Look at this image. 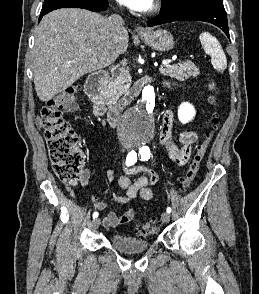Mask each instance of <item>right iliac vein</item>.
Wrapping results in <instances>:
<instances>
[{"label":"right iliac vein","mask_w":259,"mask_h":294,"mask_svg":"<svg viewBox=\"0 0 259 294\" xmlns=\"http://www.w3.org/2000/svg\"><path fill=\"white\" fill-rule=\"evenodd\" d=\"M100 223H101L100 218H95L92 222L93 229H97L99 227Z\"/></svg>","instance_id":"right-iliac-vein-1"}]
</instances>
